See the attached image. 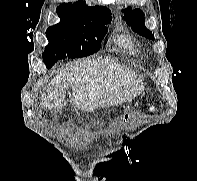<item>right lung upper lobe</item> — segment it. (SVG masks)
<instances>
[{"label":"right lung upper lobe","mask_w":197,"mask_h":181,"mask_svg":"<svg viewBox=\"0 0 197 181\" xmlns=\"http://www.w3.org/2000/svg\"><path fill=\"white\" fill-rule=\"evenodd\" d=\"M58 16L62 19H79L90 16L111 15L108 8L102 6L89 7L85 2L63 3L57 7Z\"/></svg>","instance_id":"right-lung-upper-lobe-1"}]
</instances>
